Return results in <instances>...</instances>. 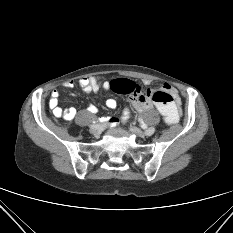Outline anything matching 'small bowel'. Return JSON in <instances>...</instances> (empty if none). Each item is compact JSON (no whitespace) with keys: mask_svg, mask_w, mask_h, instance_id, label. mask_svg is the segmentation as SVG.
Listing matches in <instances>:
<instances>
[{"mask_svg":"<svg viewBox=\"0 0 233 233\" xmlns=\"http://www.w3.org/2000/svg\"><path fill=\"white\" fill-rule=\"evenodd\" d=\"M148 83L149 81H146V84ZM78 85L80 89L85 93L97 92L99 91L100 88H104L105 90H109L111 88V83L109 81H100L96 77H83L78 81ZM73 86H74V82L71 80L66 81L62 84V87L66 89H71ZM162 89L170 93V95L174 100L175 106L180 103V97L178 91L173 86H171L168 83H165ZM58 98H59V91L57 89H54L51 92L49 99V106L53 112V115L55 117H61L65 120L74 119L77 114V110L73 107L66 109L59 107ZM131 104L133 108L138 112H141L151 107V103L149 101L139 102L131 99ZM106 106L109 109H115L117 106V102L115 99L109 98L106 100ZM87 110L92 114H96L99 111V109L93 104H89ZM106 122L109 125H115L118 122V120L115 118H107Z\"/></svg>","mask_w":233,"mask_h":233,"instance_id":"1","label":"small bowel"}]
</instances>
